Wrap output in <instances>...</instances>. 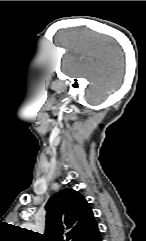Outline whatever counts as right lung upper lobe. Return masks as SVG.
<instances>
[{
	"label": "right lung upper lobe",
	"instance_id": "obj_1",
	"mask_svg": "<svg viewBox=\"0 0 146 241\" xmlns=\"http://www.w3.org/2000/svg\"><path fill=\"white\" fill-rule=\"evenodd\" d=\"M46 229L41 241H99L101 234L86 199L64 189L45 206Z\"/></svg>",
	"mask_w": 146,
	"mask_h": 241
}]
</instances>
